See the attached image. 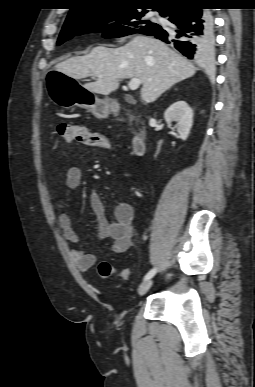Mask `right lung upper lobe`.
I'll use <instances>...</instances> for the list:
<instances>
[{"mask_svg":"<svg viewBox=\"0 0 255 387\" xmlns=\"http://www.w3.org/2000/svg\"><path fill=\"white\" fill-rule=\"evenodd\" d=\"M192 0H76L65 22H72L96 10L116 7L157 6L162 11L171 6Z\"/></svg>","mask_w":255,"mask_h":387,"instance_id":"right-lung-upper-lobe-1","label":"right lung upper lobe"}]
</instances>
